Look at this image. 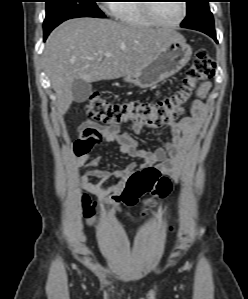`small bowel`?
<instances>
[{
  "mask_svg": "<svg viewBox=\"0 0 248 299\" xmlns=\"http://www.w3.org/2000/svg\"><path fill=\"white\" fill-rule=\"evenodd\" d=\"M209 88V83H204L200 94H204ZM203 113V104L200 100L194 102L191 113L185 115L180 121H168L165 125L169 128V134L163 146L154 151L141 149L136 140L120 126L109 125L102 127L91 120L84 121L79 128L80 136L74 146L75 160L77 167H87V174L81 176V183L85 190L96 198L91 206V215L94 211L107 213L110 207L114 206L117 211L122 208L120 191L125 178L134 169V165L114 171L103 170L98 167L100 158L90 159L89 149L101 143H111L125 154L142 160L150 166L159 170L160 174L177 181L182 172V157L185 151L193 143L198 131V124ZM144 128L154 129L155 126L142 121H133L131 129L134 133H140ZM90 177L99 179L98 183L89 180ZM118 180L114 185L105 186L106 183ZM87 216V225L92 227L96 224V218Z\"/></svg>",
  "mask_w": 248,
  "mask_h": 299,
  "instance_id": "c3829d8e",
  "label": "small bowel"
}]
</instances>
